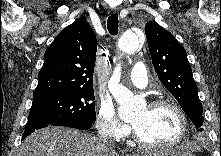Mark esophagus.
<instances>
[{"instance_id": "esophagus-1", "label": "esophagus", "mask_w": 221, "mask_h": 156, "mask_svg": "<svg viewBox=\"0 0 221 156\" xmlns=\"http://www.w3.org/2000/svg\"><path fill=\"white\" fill-rule=\"evenodd\" d=\"M117 11H118L117 8H114V9L112 10L113 13H117Z\"/></svg>"}]
</instances>
